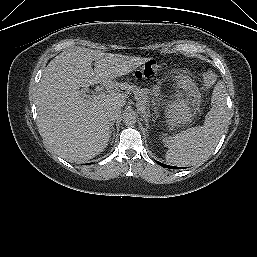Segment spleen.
Segmentation results:
<instances>
[{
	"instance_id": "1",
	"label": "spleen",
	"mask_w": 257,
	"mask_h": 257,
	"mask_svg": "<svg viewBox=\"0 0 257 257\" xmlns=\"http://www.w3.org/2000/svg\"><path fill=\"white\" fill-rule=\"evenodd\" d=\"M212 107L203 126L182 131L174 136H162L168 150L166 161L178 166H191L206 161L213 153L227 127L226 91L221 83L214 88Z\"/></svg>"
}]
</instances>
